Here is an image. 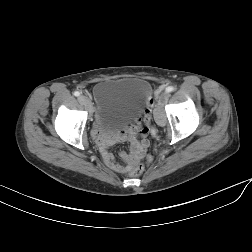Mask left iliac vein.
<instances>
[{
	"instance_id": "1",
	"label": "left iliac vein",
	"mask_w": 252,
	"mask_h": 252,
	"mask_svg": "<svg viewBox=\"0 0 252 252\" xmlns=\"http://www.w3.org/2000/svg\"><path fill=\"white\" fill-rule=\"evenodd\" d=\"M168 98L169 94L167 92L160 94V96L158 97L159 105L163 106L167 102Z\"/></svg>"
}]
</instances>
